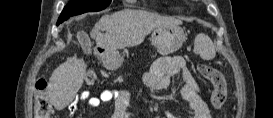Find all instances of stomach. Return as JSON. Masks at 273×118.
I'll use <instances>...</instances> for the list:
<instances>
[{
  "label": "stomach",
  "instance_id": "obj_1",
  "mask_svg": "<svg viewBox=\"0 0 273 118\" xmlns=\"http://www.w3.org/2000/svg\"><path fill=\"white\" fill-rule=\"evenodd\" d=\"M185 40L186 35L179 25L160 26L153 29L151 34L152 44L163 55L177 51ZM102 62L108 70H116L123 63V57L118 52H106Z\"/></svg>",
  "mask_w": 273,
  "mask_h": 118
}]
</instances>
